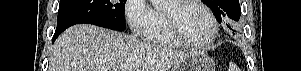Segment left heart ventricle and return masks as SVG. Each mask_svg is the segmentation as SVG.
<instances>
[{"mask_svg":"<svg viewBox=\"0 0 301 71\" xmlns=\"http://www.w3.org/2000/svg\"><path fill=\"white\" fill-rule=\"evenodd\" d=\"M170 7L169 3L166 5ZM185 36L194 42L206 41L212 33V24L204 10L194 4L186 5L174 11Z\"/></svg>","mask_w":301,"mask_h":71,"instance_id":"b2bd125f","label":"left heart ventricle"}]
</instances>
